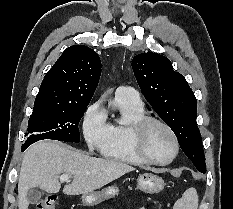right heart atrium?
Masks as SVG:
<instances>
[{
	"instance_id": "obj_1",
	"label": "right heart atrium",
	"mask_w": 233,
	"mask_h": 209,
	"mask_svg": "<svg viewBox=\"0 0 233 209\" xmlns=\"http://www.w3.org/2000/svg\"><path fill=\"white\" fill-rule=\"evenodd\" d=\"M82 132L89 149H100L109 134V125L100 101L91 104L85 111Z\"/></svg>"
}]
</instances>
